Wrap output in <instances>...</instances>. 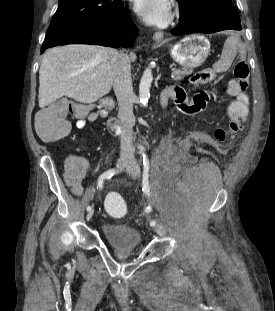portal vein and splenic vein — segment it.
<instances>
[{"label": "portal vein and splenic vein", "mask_w": 275, "mask_h": 311, "mask_svg": "<svg viewBox=\"0 0 275 311\" xmlns=\"http://www.w3.org/2000/svg\"><path fill=\"white\" fill-rule=\"evenodd\" d=\"M172 73L176 72V68H171Z\"/></svg>", "instance_id": "1"}]
</instances>
